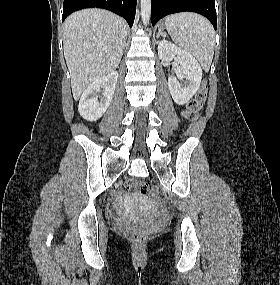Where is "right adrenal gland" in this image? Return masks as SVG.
<instances>
[{"instance_id":"1","label":"right adrenal gland","mask_w":280,"mask_h":285,"mask_svg":"<svg viewBox=\"0 0 280 285\" xmlns=\"http://www.w3.org/2000/svg\"><path fill=\"white\" fill-rule=\"evenodd\" d=\"M126 47H127V42H126V40H125L123 49H126Z\"/></svg>"}]
</instances>
